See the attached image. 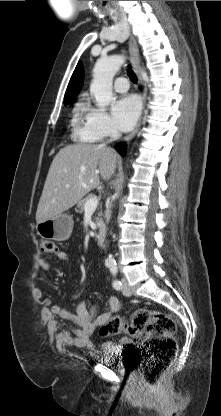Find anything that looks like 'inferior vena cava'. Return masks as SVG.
<instances>
[{"label":"inferior vena cava","instance_id":"1","mask_svg":"<svg viewBox=\"0 0 221 416\" xmlns=\"http://www.w3.org/2000/svg\"><path fill=\"white\" fill-rule=\"evenodd\" d=\"M119 136H120L119 132H118V131H116V130H114V131L112 132V139H111L110 141H112L113 139L118 138ZM102 146H105V144H102Z\"/></svg>","mask_w":221,"mask_h":416}]
</instances>
